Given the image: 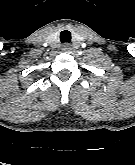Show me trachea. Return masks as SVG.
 <instances>
[{
  "label": "trachea",
  "instance_id": "3493384b",
  "mask_svg": "<svg viewBox=\"0 0 135 165\" xmlns=\"http://www.w3.org/2000/svg\"><path fill=\"white\" fill-rule=\"evenodd\" d=\"M60 41H61V43H70L71 33L68 30H63L60 33Z\"/></svg>",
  "mask_w": 135,
  "mask_h": 165
}]
</instances>
